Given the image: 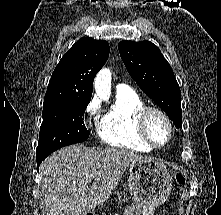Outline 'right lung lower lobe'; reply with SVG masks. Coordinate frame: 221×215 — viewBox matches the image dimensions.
<instances>
[{
    "instance_id": "obj_1",
    "label": "right lung lower lobe",
    "mask_w": 221,
    "mask_h": 215,
    "mask_svg": "<svg viewBox=\"0 0 221 215\" xmlns=\"http://www.w3.org/2000/svg\"><path fill=\"white\" fill-rule=\"evenodd\" d=\"M46 157H47V156H46ZM46 157H39V158H37V169H39V165L41 164V162H42Z\"/></svg>"
}]
</instances>
